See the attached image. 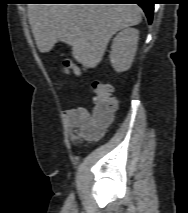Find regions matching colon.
<instances>
[{"mask_svg":"<svg viewBox=\"0 0 188 213\" xmlns=\"http://www.w3.org/2000/svg\"><path fill=\"white\" fill-rule=\"evenodd\" d=\"M63 70L67 73L79 74L82 68L78 67L71 59H64ZM92 91L94 93L92 100L95 106L91 115L92 124L94 126L106 125L111 122L117 110V100L112 96V86L95 80L92 83ZM71 134H75V131H71Z\"/></svg>","mask_w":188,"mask_h":213,"instance_id":"1","label":"colon"}]
</instances>
